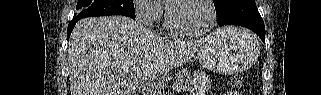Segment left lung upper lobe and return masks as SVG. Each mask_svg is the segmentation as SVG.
Instances as JSON below:
<instances>
[{
	"label": "left lung upper lobe",
	"instance_id": "obj_1",
	"mask_svg": "<svg viewBox=\"0 0 321 95\" xmlns=\"http://www.w3.org/2000/svg\"><path fill=\"white\" fill-rule=\"evenodd\" d=\"M230 0H214L216 13L219 12Z\"/></svg>",
	"mask_w": 321,
	"mask_h": 95
}]
</instances>
